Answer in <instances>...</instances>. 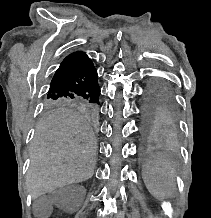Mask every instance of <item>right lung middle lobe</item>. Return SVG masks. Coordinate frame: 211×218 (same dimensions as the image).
Here are the masks:
<instances>
[{"label": "right lung middle lobe", "mask_w": 211, "mask_h": 218, "mask_svg": "<svg viewBox=\"0 0 211 218\" xmlns=\"http://www.w3.org/2000/svg\"><path fill=\"white\" fill-rule=\"evenodd\" d=\"M99 105V103H94L79 97H46L44 100V108L49 111L62 108H82L90 113H96Z\"/></svg>", "instance_id": "1"}]
</instances>
